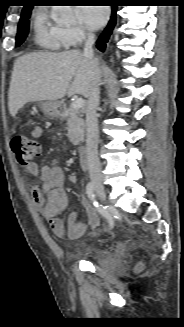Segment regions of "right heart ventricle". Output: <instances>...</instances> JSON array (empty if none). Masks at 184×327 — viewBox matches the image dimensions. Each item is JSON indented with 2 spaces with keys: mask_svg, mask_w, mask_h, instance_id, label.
I'll list each match as a JSON object with an SVG mask.
<instances>
[{
  "mask_svg": "<svg viewBox=\"0 0 184 327\" xmlns=\"http://www.w3.org/2000/svg\"><path fill=\"white\" fill-rule=\"evenodd\" d=\"M66 28L55 20L45 9L38 10L33 18L34 40L37 45L50 50H60L67 47L65 39Z\"/></svg>",
  "mask_w": 184,
  "mask_h": 327,
  "instance_id": "obj_1",
  "label": "right heart ventricle"
}]
</instances>
